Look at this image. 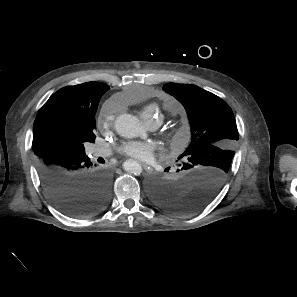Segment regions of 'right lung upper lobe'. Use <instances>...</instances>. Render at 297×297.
<instances>
[{"instance_id":"1","label":"right lung upper lobe","mask_w":297,"mask_h":297,"mask_svg":"<svg viewBox=\"0 0 297 297\" xmlns=\"http://www.w3.org/2000/svg\"><path fill=\"white\" fill-rule=\"evenodd\" d=\"M110 89L99 82H88L61 88L39 110L33 126L32 148L37 161L46 152L47 137L56 127L83 128L95 120L102 95Z\"/></svg>"}]
</instances>
